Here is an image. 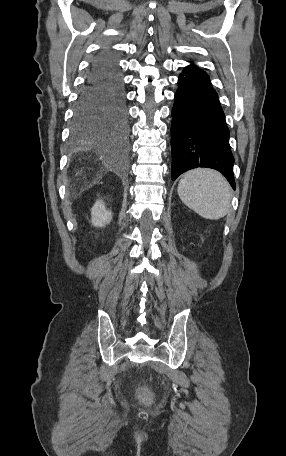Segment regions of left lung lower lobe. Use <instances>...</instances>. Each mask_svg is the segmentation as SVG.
<instances>
[{
    "mask_svg": "<svg viewBox=\"0 0 286 456\" xmlns=\"http://www.w3.org/2000/svg\"><path fill=\"white\" fill-rule=\"evenodd\" d=\"M229 136L209 76L193 64L185 67L172 109V180L187 170L208 167L220 171L235 189Z\"/></svg>",
    "mask_w": 286,
    "mask_h": 456,
    "instance_id": "1",
    "label": "left lung lower lobe"
}]
</instances>
